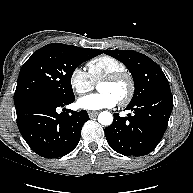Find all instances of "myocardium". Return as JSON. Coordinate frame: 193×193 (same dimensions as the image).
Here are the masks:
<instances>
[{
  "label": "myocardium",
  "mask_w": 193,
  "mask_h": 193,
  "mask_svg": "<svg viewBox=\"0 0 193 193\" xmlns=\"http://www.w3.org/2000/svg\"><path fill=\"white\" fill-rule=\"evenodd\" d=\"M120 81H127L128 83L127 94L118 101L121 106H126L131 102L136 91V84L133 76L128 71L124 70L109 74L100 80V82L109 83H117Z\"/></svg>",
  "instance_id": "obj_1"
}]
</instances>
